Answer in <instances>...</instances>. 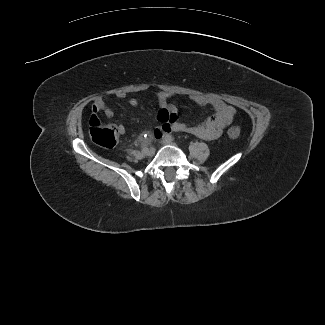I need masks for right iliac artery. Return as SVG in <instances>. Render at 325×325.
<instances>
[{
  "label": "right iliac artery",
  "mask_w": 325,
  "mask_h": 325,
  "mask_svg": "<svg viewBox=\"0 0 325 325\" xmlns=\"http://www.w3.org/2000/svg\"><path fill=\"white\" fill-rule=\"evenodd\" d=\"M147 150H148L147 145H144V146L142 147V152L145 153Z\"/></svg>",
  "instance_id": "82829eb1"
}]
</instances>
